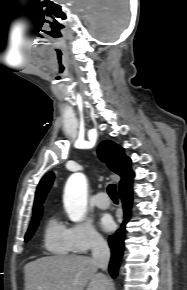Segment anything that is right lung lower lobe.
<instances>
[{"mask_svg":"<svg viewBox=\"0 0 187 290\" xmlns=\"http://www.w3.org/2000/svg\"><path fill=\"white\" fill-rule=\"evenodd\" d=\"M122 199L124 208V221L121 224V228L116 231L114 235H111L108 239L109 246L111 248V261L109 264V272L113 278L117 276L118 267L121 262L123 254V243L125 237V225L130 217V208L132 204V193L119 194Z\"/></svg>","mask_w":187,"mask_h":290,"instance_id":"obj_1","label":"right lung lower lobe"}]
</instances>
